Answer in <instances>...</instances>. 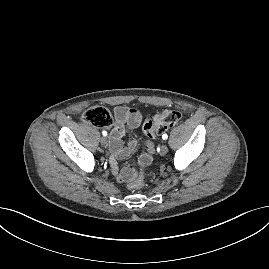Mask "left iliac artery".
Returning a JSON list of instances; mask_svg holds the SVG:
<instances>
[{
	"instance_id": "44dca946",
	"label": "left iliac artery",
	"mask_w": 269,
	"mask_h": 269,
	"mask_svg": "<svg viewBox=\"0 0 269 269\" xmlns=\"http://www.w3.org/2000/svg\"><path fill=\"white\" fill-rule=\"evenodd\" d=\"M167 138H168V135H167V134H163V135H162V139H163V140H167Z\"/></svg>"
}]
</instances>
